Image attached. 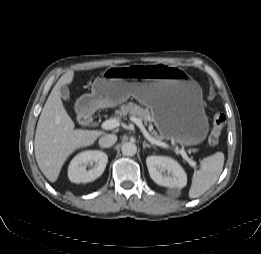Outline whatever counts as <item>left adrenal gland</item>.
Returning <instances> with one entry per match:
<instances>
[{
  "instance_id": "obj_1",
  "label": "left adrenal gland",
  "mask_w": 261,
  "mask_h": 254,
  "mask_svg": "<svg viewBox=\"0 0 261 254\" xmlns=\"http://www.w3.org/2000/svg\"><path fill=\"white\" fill-rule=\"evenodd\" d=\"M151 147L154 148L155 146L148 144L146 141H143V149H145V148H151Z\"/></svg>"
}]
</instances>
